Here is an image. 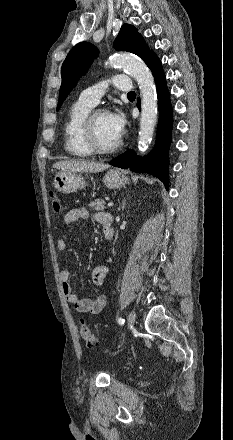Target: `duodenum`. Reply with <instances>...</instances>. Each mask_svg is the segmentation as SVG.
Listing matches in <instances>:
<instances>
[{
    "label": "duodenum",
    "mask_w": 233,
    "mask_h": 440,
    "mask_svg": "<svg viewBox=\"0 0 233 440\" xmlns=\"http://www.w3.org/2000/svg\"><path fill=\"white\" fill-rule=\"evenodd\" d=\"M103 233L106 239H110L112 235L113 220L111 216H106L102 220Z\"/></svg>",
    "instance_id": "duodenum-1"
}]
</instances>
